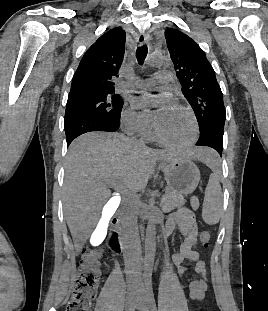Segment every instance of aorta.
<instances>
[{"label":"aorta","instance_id":"762f6f07","mask_svg":"<svg viewBox=\"0 0 268 311\" xmlns=\"http://www.w3.org/2000/svg\"><path fill=\"white\" fill-rule=\"evenodd\" d=\"M164 59L157 54L150 55L147 61L148 68L162 67L164 65ZM148 224L146 228L145 237V256H144V268L145 274L151 276V272L154 265L155 251H156V221L157 214L153 205L150 206L148 212Z\"/></svg>","mask_w":268,"mask_h":311}]
</instances>
